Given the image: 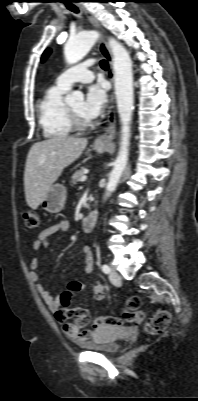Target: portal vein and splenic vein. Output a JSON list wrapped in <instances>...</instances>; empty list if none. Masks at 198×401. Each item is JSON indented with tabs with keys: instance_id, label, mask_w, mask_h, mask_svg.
Here are the masks:
<instances>
[{
	"instance_id": "portal-vein-and-splenic-vein-1",
	"label": "portal vein and splenic vein",
	"mask_w": 198,
	"mask_h": 401,
	"mask_svg": "<svg viewBox=\"0 0 198 401\" xmlns=\"http://www.w3.org/2000/svg\"><path fill=\"white\" fill-rule=\"evenodd\" d=\"M86 179H87V176L84 175V176H82V177L80 178V181H81V182H84V181H86Z\"/></svg>"
}]
</instances>
